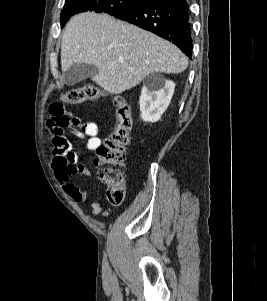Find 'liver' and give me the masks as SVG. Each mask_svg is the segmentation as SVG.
I'll return each instance as SVG.
<instances>
[{
	"instance_id": "1",
	"label": "liver",
	"mask_w": 267,
	"mask_h": 301,
	"mask_svg": "<svg viewBox=\"0 0 267 301\" xmlns=\"http://www.w3.org/2000/svg\"><path fill=\"white\" fill-rule=\"evenodd\" d=\"M76 63L95 65L92 81L111 94H121L153 72L177 74L188 58L174 44L107 14L86 12L67 24L61 43L64 72Z\"/></svg>"
}]
</instances>
